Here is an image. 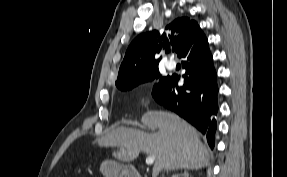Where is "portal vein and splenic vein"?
I'll return each mask as SVG.
<instances>
[{
  "instance_id": "18ae733b",
  "label": "portal vein and splenic vein",
  "mask_w": 287,
  "mask_h": 177,
  "mask_svg": "<svg viewBox=\"0 0 287 177\" xmlns=\"http://www.w3.org/2000/svg\"><path fill=\"white\" fill-rule=\"evenodd\" d=\"M154 161H155V156H153V155L147 156L146 160H145L147 165H152L154 163Z\"/></svg>"
}]
</instances>
